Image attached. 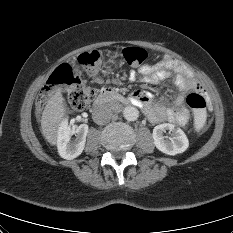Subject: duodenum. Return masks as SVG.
<instances>
[{"mask_svg": "<svg viewBox=\"0 0 233 233\" xmlns=\"http://www.w3.org/2000/svg\"><path fill=\"white\" fill-rule=\"evenodd\" d=\"M105 103H124L127 104L129 101L124 98L121 94L111 88H104L99 91L95 98V105L100 106Z\"/></svg>", "mask_w": 233, "mask_h": 233, "instance_id": "duodenum-1", "label": "duodenum"}]
</instances>
